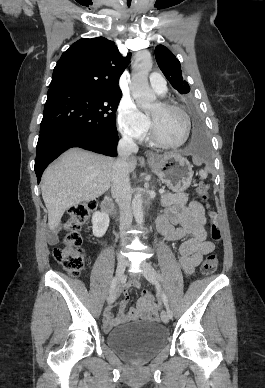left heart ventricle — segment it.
I'll use <instances>...</instances> for the list:
<instances>
[{"instance_id": "b2bd125f", "label": "left heart ventricle", "mask_w": 265, "mask_h": 388, "mask_svg": "<svg viewBox=\"0 0 265 388\" xmlns=\"http://www.w3.org/2000/svg\"><path fill=\"white\" fill-rule=\"evenodd\" d=\"M149 89L150 91H156L151 83ZM150 115L155 119L158 132L164 140L175 143L181 139L183 118L179 113L174 110L164 109L159 104Z\"/></svg>"}]
</instances>
